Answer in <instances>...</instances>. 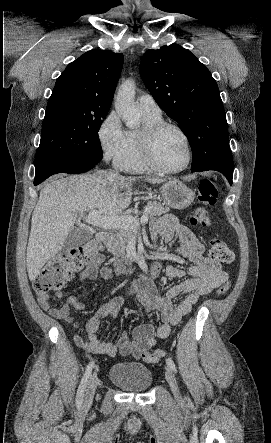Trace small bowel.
<instances>
[{"label":"small bowel","mask_w":271,"mask_h":443,"mask_svg":"<svg viewBox=\"0 0 271 443\" xmlns=\"http://www.w3.org/2000/svg\"><path fill=\"white\" fill-rule=\"evenodd\" d=\"M152 237L154 239L160 237L165 242L178 239L180 246L176 253L191 263L187 272L178 267L167 266V278L182 279V281L171 286L163 295L158 293L149 278L140 279L129 289L128 293L136 295L146 313L154 311L159 313L161 324L157 327L151 323L140 324L133 329L131 337L123 332L115 343L99 340L97 331L101 320L107 316L116 317L123 303V296H116L102 304L86 322V337L80 334L74 335V342L77 346L94 354L115 356L120 353L123 356L140 359L149 352L158 339H164L170 335L172 328L190 313L201 296L210 293L227 281L228 275L222 263L206 256L202 242L174 215H166L160 219L153 228ZM158 269V265H153L151 275H155ZM186 274L187 278H185ZM111 276L112 271L109 267L98 269L97 263L89 264L80 274L81 280H96L98 277L109 280ZM180 296L182 299L175 304L173 300ZM56 297L64 299L60 308L51 305L48 295L38 296V302L51 316L69 326L77 327L70 314V308L82 310L85 304L76 296L66 298L62 291H57Z\"/></svg>","instance_id":"1"}]
</instances>
